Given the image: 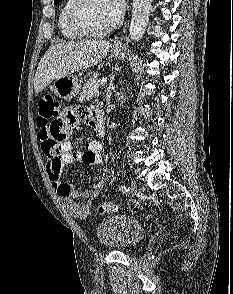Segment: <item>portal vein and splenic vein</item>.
Instances as JSON below:
<instances>
[{
  "mask_svg": "<svg viewBox=\"0 0 233 294\" xmlns=\"http://www.w3.org/2000/svg\"><path fill=\"white\" fill-rule=\"evenodd\" d=\"M106 82H107V78L106 77H102V79L100 81L101 85L104 86Z\"/></svg>",
  "mask_w": 233,
  "mask_h": 294,
  "instance_id": "1",
  "label": "portal vein and splenic vein"
}]
</instances>
